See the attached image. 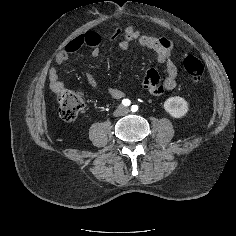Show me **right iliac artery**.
<instances>
[{"mask_svg":"<svg viewBox=\"0 0 236 236\" xmlns=\"http://www.w3.org/2000/svg\"><path fill=\"white\" fill-rule=\"evenodd\" d=\"M122 104H123L124 106H129V105L131 104V101H130L129 99H123V100H122Z\"/></svg>","mask_w":236,"mask_h":236,"instance_id":"right-iliac-artery-1","label":"right iliac artery"}]
</instances>
